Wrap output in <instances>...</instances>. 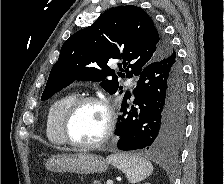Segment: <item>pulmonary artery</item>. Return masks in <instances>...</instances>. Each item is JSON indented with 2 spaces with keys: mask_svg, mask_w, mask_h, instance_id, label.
Wrapping results in <instances>:
<instances>
[{
  "mask_svg": "<svg viewBox=\"0 0 224 184\" xmlns=\"http://www.w3.org/2000/svg\"><path fill=\"white\" fill-rule=\"evenodd\" d=\"M128 83L132 86V87H135V83L133 80H129Z\"/></svg>",
  "mask_w": 224,
  "mask_h": 184,
  "instance_id": "1",
  "label": "pulmonary artery"
}]
</instances>
